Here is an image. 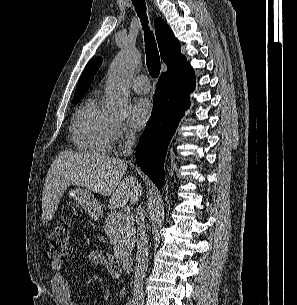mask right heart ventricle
Segmentation results:
<instances>
[{
    "label": "right heart ventricle",
    "mask_w": 297,
    "mask_h": 305,
    "mask_svg": "<svg viewBox=\"0 0 297 305\" xmlns=\"http://www.w3.org/2000/svg\"><path fill=\"white\" fill-rule=\"evenodd\" d=\"M113 118L105 112L96 97L86 99L76 110L72 122V140L79 150L106 154L114 141Z\"/></svg>",
    "instance_id": "e07e8e85"
}]
</instances>
